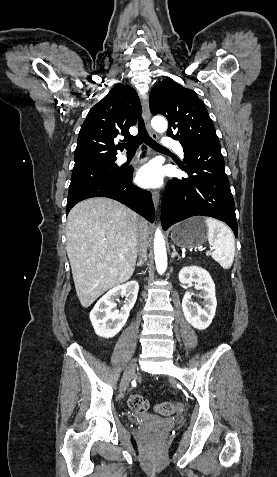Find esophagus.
<instances>
[{"label":"esophagus","mask_w":277,"mask_h":477,"mask_svg":"<svg viewBox=\"0 0 277 477\" xmlns=\"http://www.w3.org/2000/svg\"><path fill=\"white\" fill-rule=\"evenodd\" d=\"M141 104H142V109H143V116L146 124V128L149 132V134L157 139V134L152 130L151 124H150V119H151V114H150V109H149V101H148V95L143 94L141 96ZM152 200L155 206V209L158 210V206L160 203V194L158 191H152Z\"/></svg>","instance_id":"obj_1"}]
</instances>
